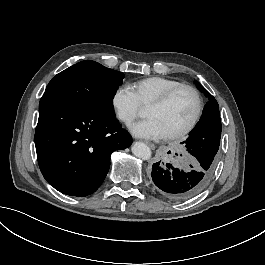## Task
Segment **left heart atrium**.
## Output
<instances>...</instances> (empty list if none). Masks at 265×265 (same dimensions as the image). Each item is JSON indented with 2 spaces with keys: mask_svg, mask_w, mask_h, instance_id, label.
<instances>
[{
  "mask_svg": "<svg viewBox=\"0 0 265 265\" xmlns=\"http://www.w3.org/2000/svg\"><path fill=\"white\" fill-rule=\"evenodd\" d=\"M130 131L137 137L145 139H161L165 133L153 118L137 121L130 126Z\"/></svg>",
  "mask_w": 265,
  "mask_h": 265,
  "instance_id": "39dd6f15",
  "label": "left heart atrium"
}]
</instances>
